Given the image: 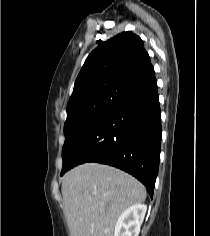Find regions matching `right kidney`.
I'll return each mask as SVG.
<instances>
[{"mask_svg": "<svg viewBox=\"0 0 210 236\" xmlns=\"http://www.w3.org/2000/svg\"><path fill=\"white\" fill-rule=\"evenodd\" d=\"M146 210V205L135 204L123 211L116 222L114 236H138Z\"/></svg>", "mask_w": 210, "mask_h": 236, "instance_id": "obj_1", "label": "right kidney"}]
</instances>
